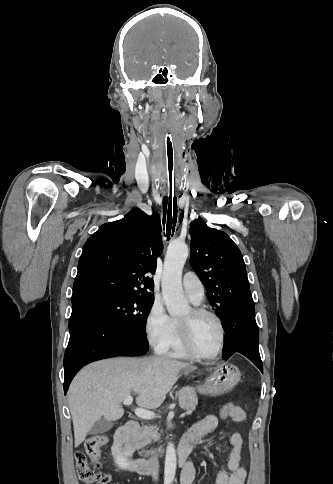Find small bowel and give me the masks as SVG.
<instances>
[{"instance_id": "1", "label": "small bowel", "mask_w": 333, "mask_h": 484, "mask_svg": "<svg viewBox=\"0 0 333 484\" xmlns=\"http://www.w3.org/2000/svg\"><path fill=\"white\" fill-rule=\"evenodd\" d=\"M222 418H229L234 423L239 424L245 419V412L241 407L236 406L227 417ZM217 425L218 418L214 415H207L195 423L187 431L183 439L193 443L214 431ZM229 442L232 445V449L228 455L226 468L219 472L216 484H245L247 471L241 457L242 436L240 433L235 432L230 436ZM195 476V466L192 462H189L182 470L181 484H194Z\"/></svg>"}]
</instances>
